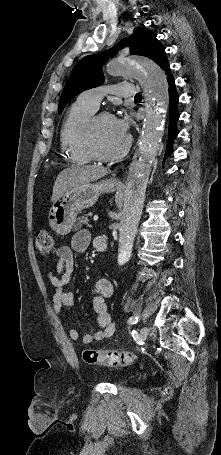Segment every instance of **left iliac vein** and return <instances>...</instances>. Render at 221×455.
<instances>
[{
    "label": "left iliac vein",
    "instance_id": "obj_1",
    "mask_svg": "<svg viewBox=\"0 0 221 455\" xmlns=\"http://www.w3.org/2000/svg\"><path fill=\"white\" fill-rule=\"evenodd\" d=\"M148 328L147 327H142L140 329V332H139V338L142 340V341H145L148 337Z\"/></svg>",
    "mask_w": 221,
    "mask_h": 455
}]
</instances>
